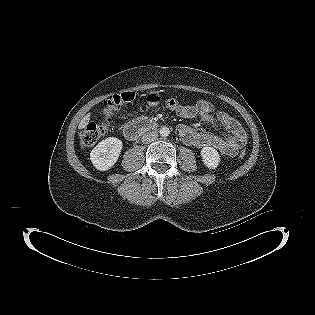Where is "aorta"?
<instances>
[{
    "instance_id": "obj_1",
    "label": "aorta",
    "mask_w": 315,
    "mask_h": 315,
    "mask_svg": "<svg viewBox=\"0 0 315 315\" xmlns=\"http://www.w3.org/2000/svg\"><path fill=\"white\" fill-rule=\"evenodd\" d=\"M159 133H160V135H161L162 137H167V136H169V134H170V130H169L168 127H162V128L160 129Z\"/></svg>"
}]
</instances>
